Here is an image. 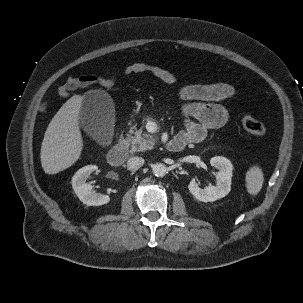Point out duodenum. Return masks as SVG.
<instances>
[{"mask_svg": "<svg viewBox=\"0 0 303 303\" xmlns=\"http://www.w3.org/2000/svg\"><path fill=\"white\" fill-rule=\"evenodd\" d=\"M186 141L177 136L170 140L167 144L168 150L172 152H179L182 151L186 147ZM127 157V146L125 142H120L114 145L108 152L107 160L110 165L112 166H119L121 165Z\"/></svg>", "mask_w": 303, "mask_h": 303, "instance_id": "obj_1", "label": "duodenum"}]
</instances>
